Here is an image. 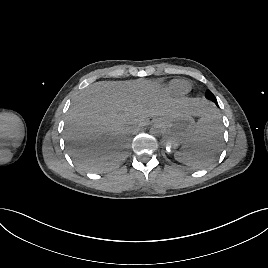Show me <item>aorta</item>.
Instances as JSON below:
<instances>
[{
  "instance_id": "762f6f07",
  "label": "aorta",
  "mask_w": 268,
  "mask_h": 268,
  "mask_svg": "<svg viewBox=\"0 0 268 268\" xmlns=\"http://www.w3.org/2000/svg\"><path fill=\"white\" fill-rule=\"evenodd\" d=\"M162 129L159 127V126H153L151 129H150V133L152 135H155V136H159L162 134Z\"/></svg>"
}]
</instances>
